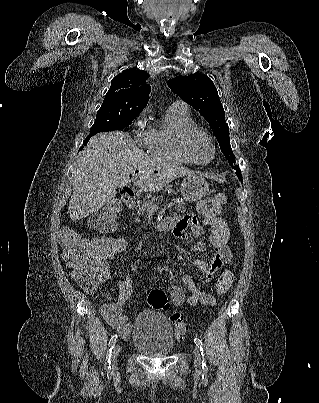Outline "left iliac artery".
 I'll list each match as a JSON object with an SVG mask.
<instances>
[{
  "label": "left iliac artery",
  "mask_w": 319,
  "mask_h": 403,
  "mask_svg": "<svg viewBox=\"0 0 319 403\" xmlns=\"http://www.w3.org/2000/svg\"><path fill=\"white\" fill-rule=\"evenodd\" d=\"M194 342H195L196 346L199 348V350L201 352V355L203 357L202 368L207 369L206 359L204 358V346H203V343L199 338H194Z\"/></svg>",
  "instance_id": "left-iliac-artery-1"
}]
</instances>
